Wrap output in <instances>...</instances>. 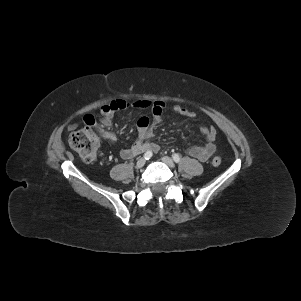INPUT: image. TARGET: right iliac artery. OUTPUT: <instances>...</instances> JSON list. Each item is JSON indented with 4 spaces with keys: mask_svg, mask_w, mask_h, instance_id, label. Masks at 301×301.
<instances>
[{
    "mask_svg": "<svg viewBox=\"0 0 301 301\" xmlns=\"http://www.w3.org/2000/svg\"><path fill=\"white\" fill-rule=\"evenodd\" d=\"M152 157V152L151 151H147L145 154H144V158L146 160L150 159Z\"/></svg>",
    "mask_w": 301,
    "mask_h": 301,
    "instance_id": "obj_1",
    "label": "right iliac artery"
}]
</instances>
